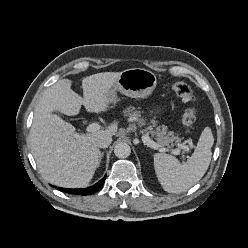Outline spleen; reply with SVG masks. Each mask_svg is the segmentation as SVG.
I'll use <instances>...</instances> for the list:
<instances>
[{"instance_id": "1", "label": "spleen", "mask_w": 248, "mask_h": 248, "mask_svg": "<svg viewBox=\"0 0 248 248\" xmlns=\"http://www.w3.org/2000/svg\"><path fill=\"white\" fill-rule=\"evenodd\" d=\"M214 144L209 127L204 128L192 156L180 163L174 156L157 153L154 155V168L158 181L169 193H182L194 186L206 173Z\"/></svg>"}]
</instances>
